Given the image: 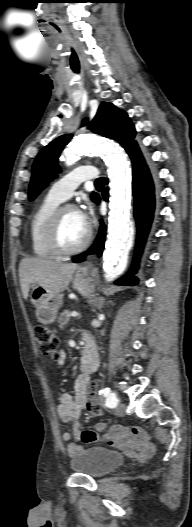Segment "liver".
<instances>
[{
	"label": "liver",
	"mask_w": 192,
	"mask_h": 527,
	"mask_svg": "<svg viewBox=\"0 0 192 527\" xmlns=\"http://www.w3.org/2000/svg\"><path fill=\"white\" fill-rule=\"evenodd\" d=\"M78 266L46 258H23L19 265V277L23 298L27 299L30 285L39 284L53 293L67 289Z\"/></svg>",
	"instance_id": "obj_1"
}]
</instances>
